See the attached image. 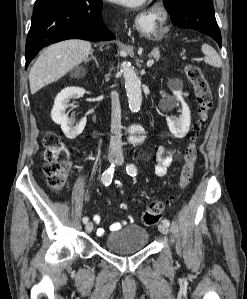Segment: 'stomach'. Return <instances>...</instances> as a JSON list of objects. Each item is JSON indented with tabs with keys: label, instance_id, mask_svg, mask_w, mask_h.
Segmentation results:
<instances>
[{
	"label": "stomach",
	"instance_id": "obj_1",
	"mask_svg": "<svg viewBox=\"0 0 247 299\" xmlns=\"http://www.w3.org/2000/svg\"><path fill=\"white\" fill-rule=\"evenodd\" d=\"M141 31L147 35H150V31L148 29H141Z\"/></svg>",
	"mask_w": 247,
	"mask_h": 299
}]
</instances>
